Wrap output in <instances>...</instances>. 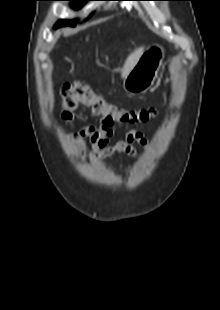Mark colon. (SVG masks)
<instances>
[{"label": "colon", "instance_id": "colon-1", "mask_svg": "<svg viewBox=\"0 0 220 310\" xmlns=\"http://www.w3.org/2000/svg\"><path fill=\"white\" fill-rule=\"evenodd\" d=\"M62 118L71 123L75 117V110L79 105L90 107L100 115L102 125L138 124L148 121L155 115L153 108L126 109L109 102L104 96L95 92L88 84L73 82L65 84L61 89Z\"/></svg>", "mask_w": 220, "mask_h": 310}]
</instances>
